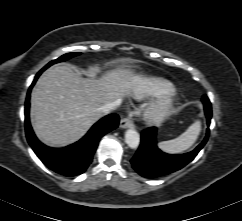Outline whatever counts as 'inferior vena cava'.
<instances>
[{"mask_svg":"<svg viewBox=\"0 0 242 221\" xmlns=\"http://www.w3.org/2000/svg\"><path fill=\"white\" fill-rule=\"evenodd\" d=\"M119 102L118 101H113V102H107L106 104L102 105L99 110L103 113H110L116 110L118 107Z\"/></svg>","mask_w":242,"mask_h":221,"instance_id":"602c4592","label":"inferior vena cava"}]
</instances>
